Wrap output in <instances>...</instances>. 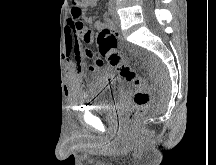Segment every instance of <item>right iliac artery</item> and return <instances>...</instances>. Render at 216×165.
I'll return each instance as SVG.
<instances>
[{
    "label": "right iliac artery",
    "instance_id": "82829eb1",
    "mask_svg": "<svg viewBox=\"0 0 216 165\" xmlns=\"http://www.w3.org/2000/svg\"><path fill=\"white\" fill-rule=\"evenodd\" d=\"M113 5H112V0L109 2V7H108V14L111 16L113 14Z\"/></svg>",
    "mask_w": 216,
    "mask_h": 165
}]
</instances>
